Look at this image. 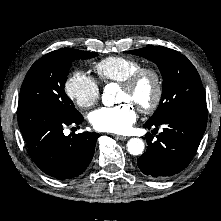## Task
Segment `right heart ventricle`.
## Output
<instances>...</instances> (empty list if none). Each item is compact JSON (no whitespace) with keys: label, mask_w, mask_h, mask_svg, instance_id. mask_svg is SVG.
Wrapping results in <instances>:
<instances>
[{"label":"right heart ventricle","mask_w":221,"mask_h":221,"mask_svg":"<svg viewBox=\"0 0 221 221\" xmlns=\"http://www.w3.org/2000/svg\"><path fill=\"white\" fill-rule=\"evenodd\" d=\"M142 66V63L134 58L110 56L98 61L93 69L102 82L121 83Z\"/></svg>","instance_id":"right-heart-ventricle-1"}]
</instances>
